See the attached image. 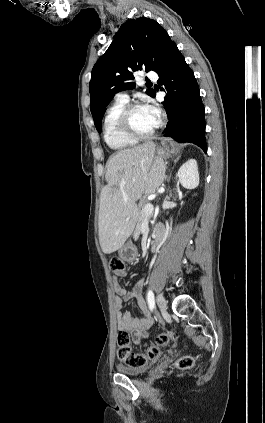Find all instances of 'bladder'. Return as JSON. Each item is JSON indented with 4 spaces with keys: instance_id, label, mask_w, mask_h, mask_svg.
Returning a JSON list of instances; mask_svg holds the SVG:
<instances>
[{
    "instance_id": "31cf9c89",
    "label": "bladder",
    "mask_w": 265,
    "mask_h": 423,
    "mask_svg": "<svg viewBox=\"0 0 265 423\" xmlns=\"http://www.w3.org/2000/svg\"><path fill=\"white\" fill-rule=\"evenodd\" d=\"M116 369L118 373L127 375V376H141L146 371V366L140 367V368H129L124 365H117Z\"/></svg>"
}]
</instances>
